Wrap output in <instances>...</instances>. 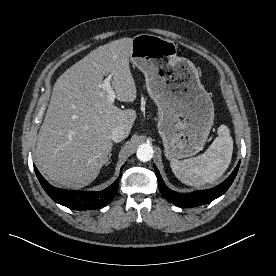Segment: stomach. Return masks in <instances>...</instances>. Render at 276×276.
Here are the masks:
<instances>
[{
  "instance_id": "stomach-1",
  "label": "stomach",
  "mask_w": 276,
  "mask_h": 276,
  "mask_svg": "<svg viewBox=\"0 0 276 276\" xmlns=\"http://www.w3.org/2000/svg\"><path fill=\"white\" fill-rule=\"evenodd\" d=\"M130 59L145 74L147 91L158 107L166 158L197 154L214 124V105L195 65L177 56L173 41L151 34L132 39Z\"/></svg>"
}]
</instances>
